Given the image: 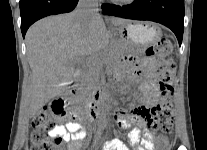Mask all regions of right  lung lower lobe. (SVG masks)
Wrapping results in <instances>:
<instances>
[{"label":"right lung lower lobe","mask_w":207,"mask_h":150,"mask_svg":"<svg viewBox=\"0 0 207 150\" xmlns=\"http://www.w3.org/2000/svg\"><path fill=\"white\" fill-rule=\"evenodd\" d=\"M78 0H20L21 31L23 37L28 28L37 20L72 11Z\"/></svg>","instance_id":"1"}]
</instances>
